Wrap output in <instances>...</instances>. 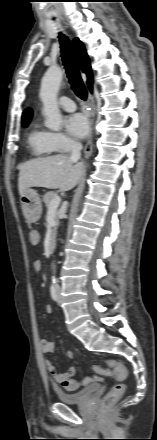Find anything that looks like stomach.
<instances>
[{
  "mask_svg": "<svg viewBox=\"0 0 157 440\" xmlns=\"http://www.w3.org/2000/svg\"><path fill=\"white\" fill-rule=\"evenodd\" d=\"M22 212L30 223L38 221L42 214V204L38 193L33 189H27L20 196Z\"/></svg>",
  "mask_w": 157,
  "mask_h": 440,
  "instance_id": "obj_1",
  "label": "stomach"
}]
</instances>
